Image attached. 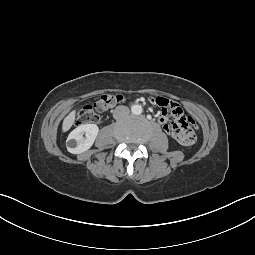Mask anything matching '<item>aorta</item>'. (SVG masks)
<instances>
[{
    "label": "aorta",
    "instance_id": "1",
    "mask_svg": "<svg viewBox=\"0 0 255 255\" xmlns=\"http://www.w3.org/2000/svg\"><path fill=\"white\" fill-rule=\"evenodd\" d=\"M131 112L134 114V115H140L142 113V107L138 104L136 105H133L131 107Z\"/></svg>",
    "mask_w": 255,
    "mask_h": 255
}]
</instances>
